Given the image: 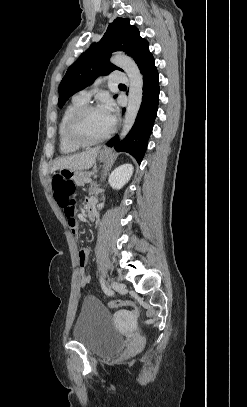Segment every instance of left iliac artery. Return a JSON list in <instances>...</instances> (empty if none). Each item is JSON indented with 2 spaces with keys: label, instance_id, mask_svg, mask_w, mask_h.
Instances as JSON below:
<instances>
[{
  "label": "left iliac artery",
  "instance_id": "left-iliac-artery-1",
  "mask_svg": "<svg viewBox=\"0 0 247 407\" xmlns=\"http://www.w3.org/2000/svg\"><path fill=\"white\" fill-rule=\"evenodd\" d=\"M99 281H100V284H101V287H102L104 293L107 295H112L113 291L110 288H107V286L105 285L104 278L102 276H100Z\"/></svg>",
  "mask_w": 247,
  "mask_h": 407
}]
</instances>
